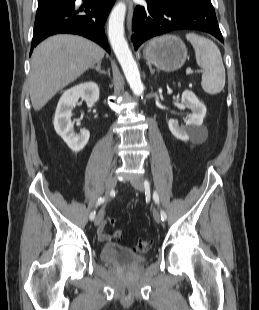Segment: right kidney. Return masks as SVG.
<instances>
[{"instance_id": "obj_1", "label": "right kidney", "mask_w": 259, "mask_h": 310, "mask_svg": "<svg viewBox=\"0 0 259 310\" xmlns=\"http://www.w3.org/2000/svg\"><path fill=\"white\" fill-rule=\"evenodd\" d=\"M79 98L84 99L87 103H96L99 99L98 85L94 82H87L65 91L58 102L54 117L56 133L61 136L74 152L81 151L90 137V132L86 129H83L80 134H76L73 130L74 123L71 121L72 108L76 105Z\"/></svg>"}]
</instances>
